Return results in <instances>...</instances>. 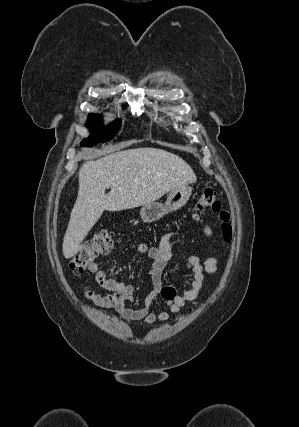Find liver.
Wrapping results in <instances>:
<instances>
[{"instance_id": "liver-1", "label": "liver", "mask_w": 299, "mask_h": 427, "mask_svg": "<svg viewBox=\"0 0 299 427\" xmlns=\"http://www.w3.org/2000/svg\"><path fill=\"white\" fill-rule=\"evenodd\" d=\"M79 190L62 252L75 256L104 210L120 211L150 204L172 189L195 183L192 168L179 156L157 148H134L86 161L79 170ZM106 188L110 192L105 194Z\"/></svg>"}]
</instances>
